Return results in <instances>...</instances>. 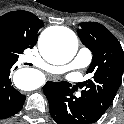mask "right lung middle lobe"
Listing matches in <instances>:
<instances>
[{
    "instance_id": "obj_1",
    "label": "right lung middle lobe",
    "mask_w": 124,
    "mask_h": 124,
    "mask_svg": "<svg viewBox=\"0 0 124 124\" xmlns=\"http://www.w3.org/2000/svg\"><path fill=\"white\" fill-rule=\"evenodd\" d=\"M20 51L15 43L4 34H0V62L15 63Z\"/></svg>"
}]
</instances>
